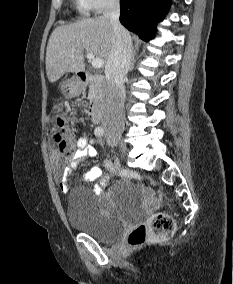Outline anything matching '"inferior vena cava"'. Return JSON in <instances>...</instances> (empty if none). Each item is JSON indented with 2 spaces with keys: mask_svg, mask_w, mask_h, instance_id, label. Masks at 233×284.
<instances>
[{
  "mask_svg": "<svg viewBox=\"0 0 233 284\" xmlns=\"http://www.w3.org/2000/svg\"><path fill=\"white\" fill-rule=\"evenodd\" d=\"M119 0H108L103 17L113 28V48L105 66L107 80L106 106L102 126L107 133L124 129L125 77L130 69L132 41L129 32L119 22Z\"/></svg>",
  "mask_w": 233,
  "mask_h": 284,
  "instance_id": "inferior-vena-cava-1",
  "label": "inferior vena cava"
}]
</instances>
